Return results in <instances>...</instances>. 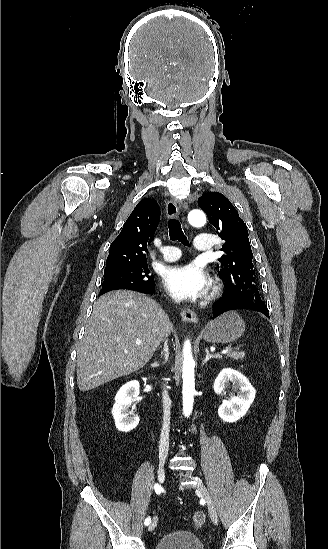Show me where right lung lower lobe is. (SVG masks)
I'll return each instance as SVG.
<instances>
[{"label":"right lung lower lobe","instance_id":"1","mask_svg":"<svg viewBox=\"0 0 328 549\" xmlns=\"http://www.w3.org/2000/svg\"><path fill=\"white\" fill-rule=\"evenodd\" d=\"M155 290V286L149 290H146V291H140L142 293H145V294H149V293H152L153 291Z\"/></svg>","mask_w":328,"mask_h":549}]
</instances>
